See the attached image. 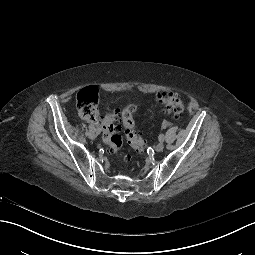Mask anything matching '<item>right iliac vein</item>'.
Instances as JSON below:
<instances>
[{"instance_id":"63e3f726","label":"right iliac vein","mask_w":255,"mask_h":255,"mask_svg":"<svg viewBox=\"0 0 255 255\" xmlns=\"http://www.w3.org/2000/svg\"><path fill=\"white\" fill-rule=\"evenodd\" d=\"M88 136H89L90 139L94 140L96 138L95 131H89Z\"/></svg>"}]
</instances>
